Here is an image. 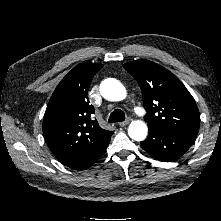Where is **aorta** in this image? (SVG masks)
I'll use <instances>...</instances> for the list:
<instances>
[{"label": "aorta", "instance_id": "aorta-1", "mask_svg": "<svg viewBox=\"0 0 221 221\" xmlns=\"http://www.w3.org/2000/svg\"><path fill=\"white\" fill-rule=\"evenodd\" d=\"M101 95L110 101H121L126 97V89L121 82L116 79H105L100 84ZM130 138L136 141H143L148 134V127L145 122L136 120L128 127Z\"/></svg>", "mask_w": 221, "mask_h": 221}]
</instances>
